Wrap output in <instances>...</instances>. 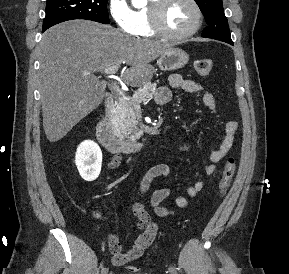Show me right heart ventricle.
<instances>
[{
	"mask_svg": "<svg viewBox=\"0 0 289 274\" xmlns=\"http://www.w3.org/2000/svg\"><path fill=\"white\" fill-rule=\"evenodd\" d=\"M154 0H150V5ZM149 5V7H150ZM149 7L134 11L135 29L133 34L138 37H154L156 33L150 25Z\"/></svg>",
	"mask_w": 289,
	"mask_h": 274,
	"instance_id": "1",
	"label": "right heart ventricle"
}]
</instances>
